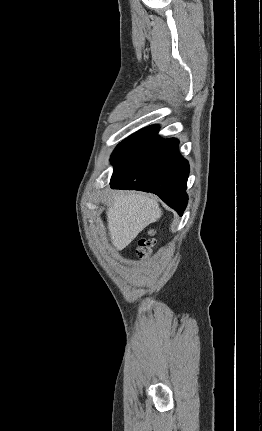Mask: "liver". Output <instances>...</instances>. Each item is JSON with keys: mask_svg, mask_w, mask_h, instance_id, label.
<instances>
[{"mask_svg": "<svg viewBox=\"0 0 262 431\" xmlns=\"http://www.w3.org/2000/svg\"><path fill=\"white\" fill-rule=\"evenodd\" d=\"M106 210L109 235L113 246L122 250L162 211L155 198L134 192H114Z\"/></svg>", "mask_w": 262, "mask_h": 431, "instance_id": "liver-1", "label": "liver"}]
</instances>
